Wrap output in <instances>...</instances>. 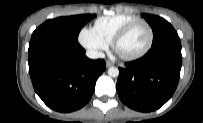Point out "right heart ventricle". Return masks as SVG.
Segmentation results:
<instances>
[{
	"mask_svg": "<svg viewBox=\"0 0 203 123\" xmlns=\"http://www.w3.org/2000/svg\"><path fill=\"white\" fill-rule=\"evenodd\" d=\"M135 20H139V18L129 14L103 16L95 21L93 29L109 44L123 27Z\"/></svg>",
	"mask_w": 203,
	"mask_h": 123,
	"instance_id": "e07e8e85",
	"label": "right heart ventricle"
}]
</instances>
